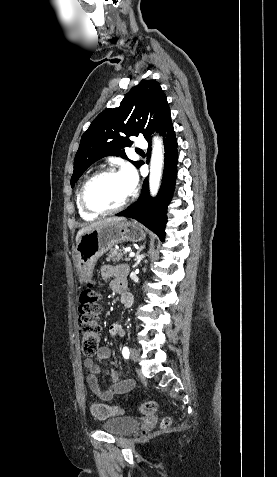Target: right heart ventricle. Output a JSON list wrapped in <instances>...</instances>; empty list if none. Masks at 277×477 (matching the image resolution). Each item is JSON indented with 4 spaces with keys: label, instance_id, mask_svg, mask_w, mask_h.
<instances>
[{
    "label": "right heart ventricle",
    "instance_id": "right-heart-ventricle-1",
    "mask_svg": "<svg viewBox=\"0 0 277 477\" xmlns=\"http://www.w3.org/2000/svg\"><path fill=\"white\" fill-rule=\"evenodd\" d=\"M77 206H78L79 214L84 220L91 221V220H94L97 217L96 215H92V214H89V213L85 212L81 208V206L79 204V192L77 194Z\"/></svg>",
    "mask_w": 277,
    "mask_h": 477
}]
</instances>
